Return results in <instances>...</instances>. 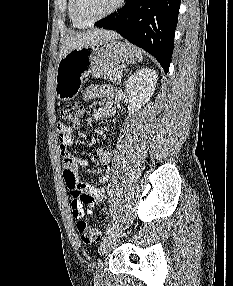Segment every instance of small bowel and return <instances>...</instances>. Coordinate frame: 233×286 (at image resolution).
<instances>
[{"label":"small bowel","mask_w":233,"mask_h":286,"mask_svg":"<svg viewBox=\"0 0 233 286\" xmlns=\"http://www.w3.org/2000/svg\"><path fill=\"white\" fill-rule=\"evenodd\" d=\"M82 98L85 101L93 98L104 99V104L93 112L94 120L100 121L113 116L115 113L114 93L110 86L91 84L84 90ZM57 132L60 141V154L64 165L63 176L66 186L73 197V215L75 217L81 216L84 206L89 208L88 214H90V209L104 199L105 191L102 187L85 182L78 176V168L86 167L88 162L85 158L69 151L70 146L73 144V129L68 125L59 123ZM79 135L84 137L83 133H79ZM97 153L102 169L99 182L104 184L109 180L112 153L107 147L99 148Z\"/></svg>","instance_id":"1"}]
</instances>
